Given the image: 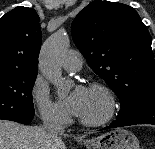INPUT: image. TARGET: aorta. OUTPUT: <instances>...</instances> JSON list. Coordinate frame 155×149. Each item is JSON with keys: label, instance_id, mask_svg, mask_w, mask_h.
I'll return each instance as SVG.
<instances>
[{"label": "aorta", "instance_id": "762f6f07", "mask_svg": "<svg viewBox=\"0 0 155 149\" xmlns=\"http://www.w3.org/2000/svg\"><path fill=\"white\" fill-rule=\"evenodd\" d=\"M69 44V36L65 29L61 28L44 43L40 52L41 71L56 87L58 94L64 92L68 87V82L62 77L61 67Z\"/></svg>", "mask_w": 155, "mask_h": 149}]
</instances>
